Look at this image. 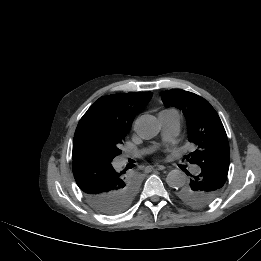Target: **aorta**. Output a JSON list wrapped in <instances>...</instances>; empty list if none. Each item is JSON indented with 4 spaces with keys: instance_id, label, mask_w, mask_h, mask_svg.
I'll list each match as a JSON object with an SVG mask.
<instances>
[{
    "instance_id": "1",
    "label": "aorta",
    "mask_w": 261,
    "mask_h": 261,
    "mask_svg": "<svg viewBox=\"0 0 261 261\" xmlns=\"http://www.w3.org/2000/svg\"><path fill=\"white\" fill-rule=\"evenodd\" d=\"M136 132L143 139H151L160 131V124L155 116L143 115L135 125ZM166 182L171 188H180L185 184V176L179 170H172L166 177Z\"/></svg>"
}]
</instances>
